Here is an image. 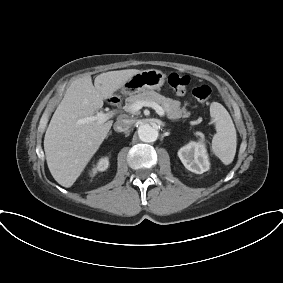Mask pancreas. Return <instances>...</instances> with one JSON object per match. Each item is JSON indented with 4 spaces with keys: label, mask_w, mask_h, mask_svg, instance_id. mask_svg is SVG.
<instances>
[{
    "label": "pancreas",
    "mask_w": 283,
    "mask_h": 283,
    "mask_svg": "<svg viewBox=\"0 0 283 283\" xmlns=\"http://www.w3.org/2000/svg\"><path fill=\"white\" fill-rule=\"evenodd\" d=\"M126 101L127 107L137 101L155 102L161 105L169 119L187 118L190 116V112L185 107L181 108L179 101L166 98L155 91L144 90L142 93L130 95Z\"/></svg>",
    "instance_id": "obj_1"
}]
</instances>
